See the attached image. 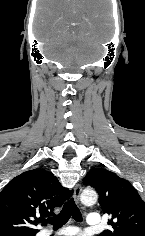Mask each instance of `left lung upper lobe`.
Listing matches in <instances>:
<instances>
[{"instance_id":"obj_1","label":"left lung upper lobe","mask_w":145,"mask_h":236,"mask_svg":"<svg viewBox=\"0 0 145 236\" xmlns=\"http://www.w3.org/2000/svg\"><path fill=\"white\" fill-rule=\"evenodd\" d=\"M99 193L103 213L111 216L105 230L99 236H145V203L136 189L113 172L95 168L83 180Z\"/></svg>"}]
</instances>
